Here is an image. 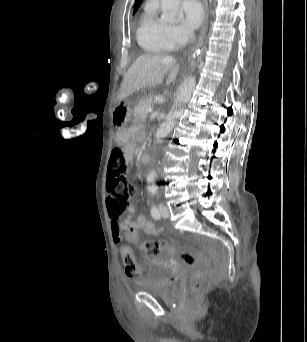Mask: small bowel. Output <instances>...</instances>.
<instances>
[{"label": "small bowel", "mask_w": 307, "mask_h": 342, "mask_svg": "<svg viewBox=\"0 0 307 342\" xmlns=\"http://www.w3.org/2000/svg\"><path fill=\"white\" fill-rule=\"evenodd\" d=\"M129 211L130 215L125 218L123 223L120 224L117 221H113L111 223V234L115 243H119L123 237H126V232H124V225H139V229H144V233H148L149 236H156L162 231V228L157 227L155 223H153L143 215H139L134 218L133 208H130Z\"/></svg>", "instance_id": "c3829d8e"}]
</instances>
